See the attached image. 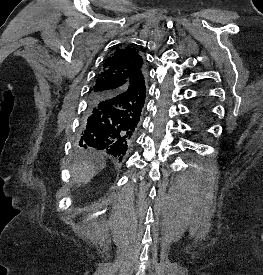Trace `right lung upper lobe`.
<instances>
[{
  "label": "right lung upper lobe",
  "instance_id": "obj_1",
  "mask_svg": "<svg viewBox=\"0 0 263 275\" xmlns=\"http://www.w3.org/2000/svg\"><path fill=\"white\" fill-rule=\"evenodd\" d=\"M143 60L135 48H117L108 57L103 69L90 90V95H107L126 92L129 95L128 107L135 114L142 111L145 102L146 88L139 77Z\"/></svg>",
  "mask_w": 263,
  "mask_h": 275
}]
</instances>
